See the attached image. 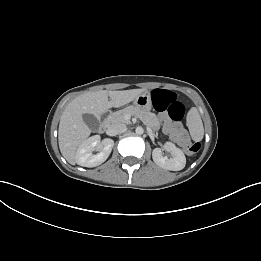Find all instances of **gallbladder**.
I'll return each instance as SVG.
<instances>
[{
  "label": "gallbladder",
  "instance_id": "obj_1",
  "mask_svg": "<svg viewBox=\"0 0 261 261\" xmlns=\"http://www.w3.org/2000/svg\"><path fill=\"white\" fill-rule=\"evenodd\" d=\"M83 120L92 131H97L99 128L98 119L92 114H84Z\"/></svg>",
  "mask_w": 261,
  "mask_h": 261
}]
</instances>
